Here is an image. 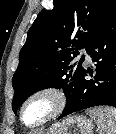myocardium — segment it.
Masks as SVG:
<instances>
[{
	"instance_id": "1",
	"label": "myocardium",
	"mask_w": 116,
	"mask_h": 134,
	"mask_svg": "<svg viewBox=\"0 0 116 134\" xmlns=\"http://www.w3.org/2000/svg\"><path fill=\"white\" fill-rule=\"evenodd\" d=\"M39 98H46V99L50 100L51 109L38 122H36L34 124H28V123H26V121L24 119L25 110L31 102H33L34 100L39 99ZM65 106H66V95L63 92V90H61L58 87H54V86L43 87V88L37 89L34 92H32L24 100V102L21 104V107L19 110V119H20V122L27 128H38V127H41V126L51 122L52 120L56 119L57 117H59L62 114V112L64 111Z\"/></svg>"
}]
</instances>
